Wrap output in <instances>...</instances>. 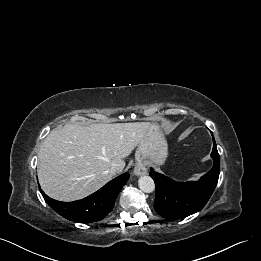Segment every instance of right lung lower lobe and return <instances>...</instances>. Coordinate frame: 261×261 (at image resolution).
Wrapping results in <instances>:
<instances>
[{"label":"right lung lower lobe","instance_id":"right-lung-lower-lobe-1","mask_svg":"<svg viewBox=\"0 0 261 261\" xmlns=\"http://www.w3.org/2000/svg\"><path fill=\"white\" fill-rule=\"evenodd\" d=\"M128 179L129 173L126 172L92 195L74 202L56 201L45 195L42 190L40 192L46 203L64 218L89 223L103 219L112 210L119 192Z\"/></svg>","mask_w":261,"mask_h":261}]
</instances>
